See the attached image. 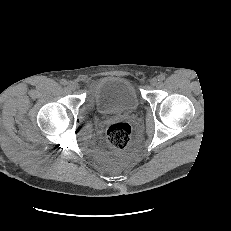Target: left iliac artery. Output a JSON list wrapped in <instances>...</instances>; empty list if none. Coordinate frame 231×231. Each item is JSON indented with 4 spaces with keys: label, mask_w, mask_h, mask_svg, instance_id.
Returning <instances> with one entry per match:
<instances>
[{
    "label": "left iliac artery",
    "mask_w": 231,
    "mask_h": 231,
    "mask_svg": "<svg viewBox=\"0 0 231 231\" xmlns=\"http://www.w3.org/2000/svg\"><path fill=\"white\" fill-rule=\"evenodd\" d=\"M165 79V75L161 74L158 76V81H163Z\"/></svg>",
    "instance_id": "left-iliac-artery-1"
}]
</instances>
